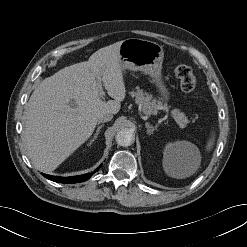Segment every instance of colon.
I'll list each match as a JSON object with an SVG mask.
<instances>
[{
  "mask_svg": "<svg viewBox=\"0 0 247 247\" xmlns=\"http://www.w3.org/2000/svg\"><path fill=\"white\" fill-rule=\"evenodd\" d=\"M175 75L179 79L181 89L185 93H191L196 87V78L191 68L184 64H179L175 67Z\"/></svg>",
  "mask_w": 247,
  "mask_h": 247,
  "instance_id": "5ec220e1",
  "label": "colon"
}]
</instances>
